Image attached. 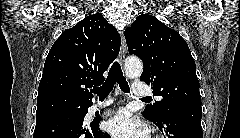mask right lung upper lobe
Returning <instances> with one entry per match:
<instances>
[{
	"instance_id": "obj_1",
	"label": "right lung upper lobe",
	"mask_w": 240,
	"mask_h": 138,
	"mask_svg": "<svg viewBox=\"0 0 240 138\" xmlns=\"http://www.w3.org/2000/svg\"><path fill=\"white\" fill-rule=\"evenodd\" d=\"M120 38L102 14L84 18L52 45L39 84L36 116L92 105L94 85L117 57Z\"/></svg>"
}]
</instances>
